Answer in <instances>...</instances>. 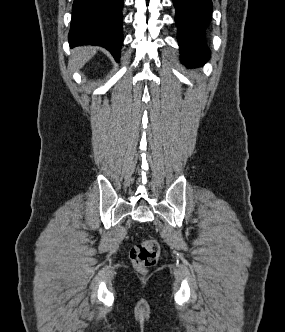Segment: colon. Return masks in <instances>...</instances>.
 <instances>
[{
    "instance_id": "obj_1",
    "label": "colon",
    "mask_w": 285,
    "mask_h": 332,
    "mask_svg": "<svg viewBox=\"0 0 285 332\" xmlns=\"http://www.w3.org/2000/svg\"><path fill=\"white\" fill-rule=\"evenodd\" d=\"M159 254V243L155 240H145L131 248L130 259L137 269L145 270L157 263Z\"/></svg>"
}]
</instances>
